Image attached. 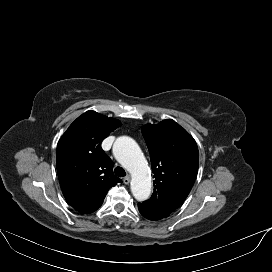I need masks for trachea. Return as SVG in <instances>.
Segmentation results:
<instances>
[{
	"label": "trachea",
	"instance_id": "trachea-1",
	"mask_svg": "<svg viewBox=\"0 0 272 272\" xmlns=\"http://www.w3.org/2000/svg\"><path fill=\"white\" fill-rule=\"evenodd\" d=\"M114 173L119 177L126 176L125 170L122 167H119V166L114 169Z\"/></svg>",
	"mask_w": 272,
	"mask_h": 272
}]
</instances>
